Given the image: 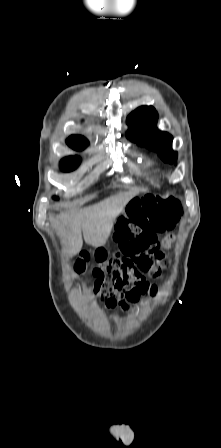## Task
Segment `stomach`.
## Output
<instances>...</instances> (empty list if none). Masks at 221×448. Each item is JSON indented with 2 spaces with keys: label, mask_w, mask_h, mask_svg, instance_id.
Listing matches in <instances>:
<instances>
[{
  "label": "stomach",
  "mask_w": 221,
  "mask_h": 448,
  "mask_svg": "<svg viewBox=\"0 0 221 448\" xmlns=\"http://www.w3.org/2000/svg\"><path fill=\"white\" fill-rule=\"evenodd\" d=\"M130 206H131V202H129V203L126 205V207H125V211H126V212L129 211Z\"/></svg>",
  "instance_id": "obj_1"
}]
</instances>
